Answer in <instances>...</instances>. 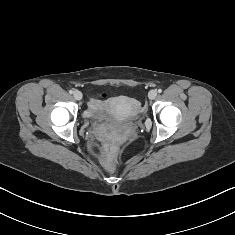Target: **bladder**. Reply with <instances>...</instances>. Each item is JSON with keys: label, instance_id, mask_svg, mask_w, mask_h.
Instances as JSON below:
<instances>
[{"label": "bladder", "instance_id": "bladder-1", "mask_svg": "<svg viewBox=\"0 0 235 235\" xmlns=\"http://www.w3.org/2000/svg\"><path fill=\"white\" fill-rule=\"evenodd\" d=\"M126 104L130 107L132 112L126 118H122L121 114L117 111L116 106ZM137 114L136 103L134 100L122 97L115 100L97 99L92 102L89 110L88 117L94 120L107 121L112 123H122L125 119L133 118Z\"/></svg>", "mask_w": 235, "mask_h": 235}]
</instances>
